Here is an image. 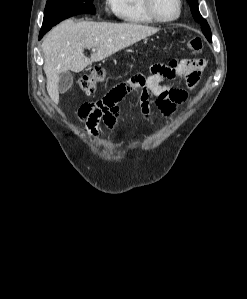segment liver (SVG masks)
I'll list each match as a JSON object with an SVG mask.
<instances>
[{
	"mask_svg": "<svg viewBox=\"0 0 247 299\" xmlns=\"http://www.w3.org/2000/svg\"><path fill=\"white\" fill-rule=\"evenodd\" d=\"M159 31L145 25L65 20L55 26L42 43L47 92L58 104L59 75L65 71L79 73L91 62L101 61ZM85 48L95 52L88 58Z\"/></svg>",
	"mask_w": 247,
	"mask_h": 299,
	"instance_id": "obj_1",
	"label": "liver"
}]
</instances>
